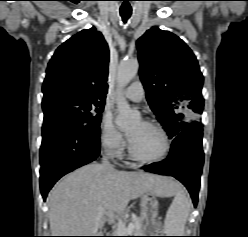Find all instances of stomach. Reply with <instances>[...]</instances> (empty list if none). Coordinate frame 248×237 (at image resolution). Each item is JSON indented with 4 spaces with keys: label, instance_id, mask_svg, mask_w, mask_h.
<instances>
[{
    "label": "stomach",
    "instance_id": "obj_1",
    "mask_svg": "<svg viewBox=\"0 0 248 237\" xmlns=\"http://www.w3.org/2000/svg\"><path fill=\"white\" fill-rule=\"evenodd\" d=\"M171 194H173V188L169 187L164 189L160 195L145 193L141 196V218L145 222V233H148L154 229V224L159 209L157 197H166Z\"/></svg>",
    "mask_w": 248,
    "mask_h": 237
}]
</instances>
